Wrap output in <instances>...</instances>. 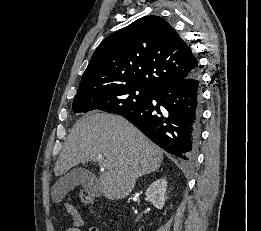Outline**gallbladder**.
Returning a JSON list of instances; mask_svg holds the SVG:
<instances>
[{"mask_svg": "<svg viewBox=\"0 0 261 231\" xmlns=\"http://www.w3.org/2000/svg\"><path fill=\"white\" fill-rule=\"evenodd\" d=\"M77 185H82L86 192L93 196L101 195L96 177L82 167L73 168L61 177L54 186L53 195L60 199Z\"/></svg>", "mask_w": 261, "mask_h": 231, "instance_id": "1", "label": "gallbladder"}]
</instances>
